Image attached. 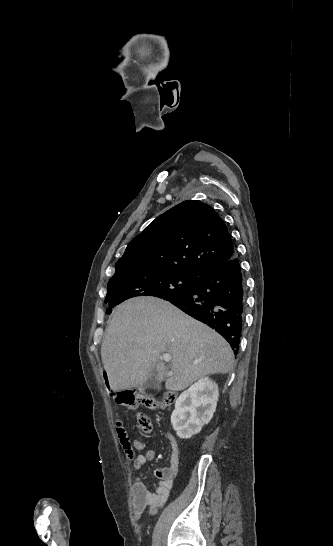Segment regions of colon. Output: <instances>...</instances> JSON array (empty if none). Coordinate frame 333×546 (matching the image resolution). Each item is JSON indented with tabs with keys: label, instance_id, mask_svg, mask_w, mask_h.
<instances>
[{
	"label": "colon",
	"instance_id": "obj_1",
	"mask_svg": "<svg viewBox=\"0 0 333 546\" xmlns=\"http://www.w3.org/2000/svg\"><path fill=\"white\" fill-rule=\"evenodd\" d=\"M103 370L105 372L102 374V377L104 379H107L109 377V374L106 372L108 369L105 367ZM106 389L108 391H111L113 389V386L111 384H108L106 386ZM175 399L176 395L174 392L171 391L165 392L161 399H155L149 395L138 393L135 391H122L116 395L117 403L129 409H135L139 406H145L148 408H165L172 405L175 402ZM137 421L141 430L144 433H151L152 423L150 418L146 414L139 413L137 415ZM118 434L126 454L130 458H133V449L131 447L128 436L121 425H119L118 427Z\"/></svg>",
	"mask_w": 333,
	"mask_h": 546
}]
</instances>
